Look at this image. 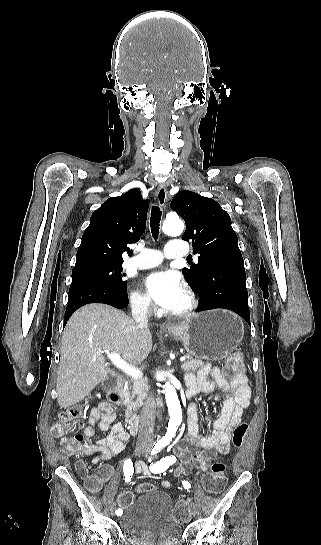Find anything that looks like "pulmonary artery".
Masks as SVG:
<instances>
[{
  "instance_id": "obj_1",
  "label": "pulmonary artery",
  "mask_w": 321,
  "mask_h": 545,
  "mask_svg": "<svg viewBox=\"0 0 321 545\" xmlns=\"http://www.w3.org/2000/svg\"><path fill=\"white\" fill-rule=\"evenodd\" d=\"M184 247V244L180 241H169L166 245L169 252L166 255L155 249H145L141 254L142 259H131L127 261L126 265L137 270L148 269L159 265L163 261L164 256L170 261H181V259L191 261L194 256L193 252L191 250L183 251Z\"/></svg>"
}]
</instances>
